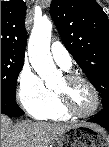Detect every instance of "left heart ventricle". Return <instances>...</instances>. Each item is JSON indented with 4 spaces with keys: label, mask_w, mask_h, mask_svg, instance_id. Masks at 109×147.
<instances>
[{
    "label": "left heart ventricle",
    "mask_w": 109,
    "mask_h": 147,
    "mask_svg": "<svg viewBox=\"0 0 109 147\" xmlns=\"http://www.w3.org/2000/svg\"><path fill=\"white\" fill-rule=\"evenodd\" d=\"M67 90L66 81L58 87L57 91ZM71 97L76 109L82 113L90 111L95 103V97L92 90L83 82H78L71 88Z\"/></svg>",
    "instance_id": "1"
}]
</instances>
